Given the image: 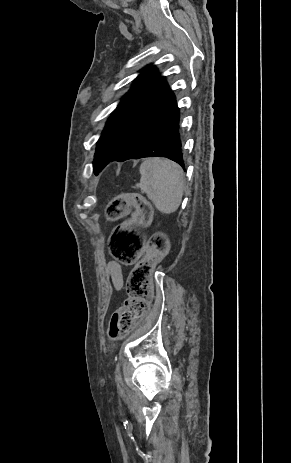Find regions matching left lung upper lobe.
I'll return each mask as SVG.
<instances>
[{"mask_svg":"<svg viewBox=\"0 0 291 463\" xmlns=\"http://www.w3.org/2000/svg\"><path fill=\"white\" fill-rule=\"evenodd\" d=\"M175 107V96L164 77L154 66H147L109 117L98 140L93 166L127 154Z\"/></svg>","mask_w":291,"mask_h":463,"instance_id":"1","label":"left lung upper lobe"}]
</instances>
